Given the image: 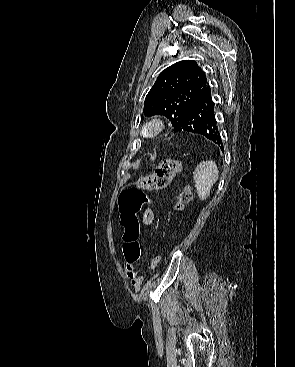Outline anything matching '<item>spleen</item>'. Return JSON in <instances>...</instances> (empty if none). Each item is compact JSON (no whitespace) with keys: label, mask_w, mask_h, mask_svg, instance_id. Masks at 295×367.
I'll return each instance as SVG.
<instances>
[{"label":"spleen","mask_w":295,"mask_h":367,"mask_svg":"<svg viewBox=\"0 0 295 367\" xmlns=\"http://www.w3.org/2000/svg\"><path fill=\"white\" fill-rule=\"evenodd\" d=\"M219 171L215 162L206 160L200 162L194 171V183L199 197L205 200L209 197L212 186L218 180Z\"/></svg>","instance_id":"1"}]
</instances>
